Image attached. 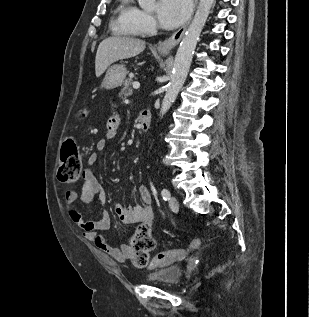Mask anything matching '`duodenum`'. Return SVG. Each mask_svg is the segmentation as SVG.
Returning a JSON list of instances; mask_svg holds the SVG:
<instances>
[{
  "label": "duodenum",
  "instance_id": "obj_1",
  "mask_svg": "<svg viewBox=\"0 0 309 317\" xmlns=\"http://www.w3.org/2000/svg\"><path fill=\"white\" fill-rule=\"evenodd\" d=\"M151 123V113L147 109H143L140 112L139 118H138V128L141 131H146Z\"/></svg>",
  "mask_w": 309,
  "mask_h": 317
}]
</instances>
